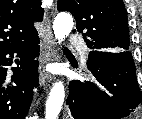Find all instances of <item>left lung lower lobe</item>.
Wrapping results in <instances>:
<instances>
[{
	"label": "left lung lower lobe",
	"instance_id": "obj_1",
	"mask_svg": "<svg viewBox=\"0 0 142 119\" xmlns=\"http://www.w3.org/2000/svg\"><path fill=\"white\" fill-rule=\"evenodd\" d=\"M91 80L71 81L67 105L74 119H122L141 103L135 64L129 51L92 50Z\"/></svg>",
	"mask_w": 142,
	"mask_h": 119
}]
</instances>
